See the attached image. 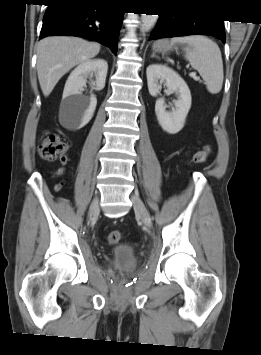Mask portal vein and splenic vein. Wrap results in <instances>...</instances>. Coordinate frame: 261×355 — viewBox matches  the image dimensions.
Listing matches in <instances>:
<instances>
[{
  "mask_svg": "<svg viewBox=\"0 0 261 355\" xmlns=\"http://www.w3.org/2000/svg\"><path fill=\"white\" fill-rule=\"evenodd\" d=\"M189 76H190V77H193V78L196 79V80H200V78L196 75V72H191V73L189 74Z\"/></svg>",
  "mask_w": 261,
  "mask_h": 355,
  "instance_id": "18ae733b",
  "label": "portal vein and splenic vein"
}]
</instances>
